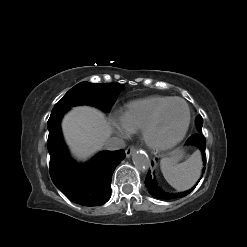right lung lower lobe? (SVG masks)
<instances>
[{
  "label": "right lung lower lobe",
  "instance_id": "1",
  "mask_svg": "<svg viewBox=\"0 0 247 247\" xmlns=\"http://www.w3.org/2000/svg\"><path fill=\"white\" fill-rule=\"evenodd\" d=\"M66 111L52 112L47 122L51 179L70 201L89 207L103 205L110 199L112 174L125 152L104 151L86 164L76 163L69 156L60 129Z\"/></svg>",
  "mask_w": 247,
  "mask_h": 247
}]
</instances>
